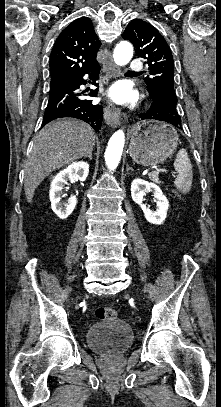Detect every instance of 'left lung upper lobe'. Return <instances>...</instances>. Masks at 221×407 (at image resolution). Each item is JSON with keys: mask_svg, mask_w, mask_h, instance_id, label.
Listing matches in <instances>:
<instances>
[{"mask_svg": "<svg viewBox=\"0 0 221 407\" xmlns=\"http://www.w3.org/2000/svg\"><path fill=\"white\" fill-rule=\"evenodd\" d=\"M122 37L132 42L136 55L145 59L149 66L151 77L144 78V81L150 96L163 89L175 94L173 56L159 31L150 23L135 19L127 25Z\"/></svg>", "mask_w": 221, "mask_h": 407, "instance_id": "1", "label": "left lung upper lobe"}]
</instances>
